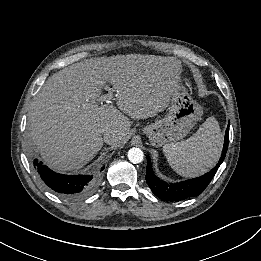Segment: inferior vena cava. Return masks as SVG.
Here are the masks:
<instances>
[{"label":"inferior vena cava","mask_w":261,"mask_h":261,"mask_svg":"<svg viewBox=\"0 0 261 261\" xmlns=\"http://www.w3.org/2000/svg\"><path fill=\"white\" fill-rule=\"evenodd\" d=\"M116 135L115 133L111 132V131H105L104 133V141L105 142H109L111 139L115 138Z\"/></svg>","instance_id":"1"}]
</instances>
